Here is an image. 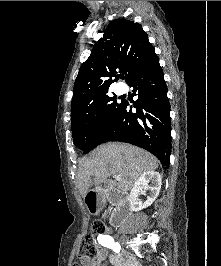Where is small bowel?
<instances>
[{"mask_svg":"<svg viewBox=\"0 0 221 266\" xmlns=\"http://www.w3.org/2000/svg\"><path fill=\"white\" fill-rule=\"evenodd\" d=\"M99 237V236H98ZM99 241V240H98ZM103 246V245H102ZM108 252L104 248L98 250V254L95 260L93 261H81L80 264L74 263L73 266H104V260L107 258ZM111 262L115 266H135L134 262L131 260L123 259L119 256H111Z\"/></svg>","mask_w":221,"mask_h":266,"instance_id":"c3829d8e","label":"small bowel"}]
</instances>
